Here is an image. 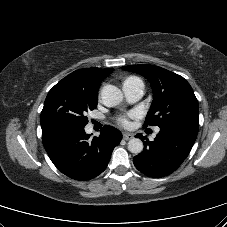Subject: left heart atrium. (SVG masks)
Returning <instances> with one entry per match:
<instances>
[{"label": "left heart atrium", "mask_w": 227, "mask_h": 227, "mask_svg": "<svg viewBox=\"0 0 227 227\" xmlns=\"http://www.w3.org/2000/svg\"><path fill=\"white\" fill-rule=\"evenodd\" d=\"M130 116H135V114H130ZM118 122L124 126H127L129 124V119H128V116L127 115H124V116H120L118 118Z\"/></svg>", "instance_id": "1"}]
</instances>
